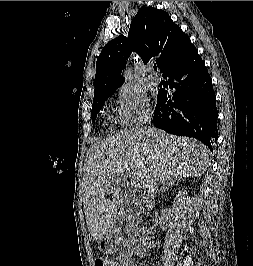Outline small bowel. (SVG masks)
<instances>
[{
  "instance_id": "small-bowel-1",
  "label": "small bowel",
  "mask_w": 253,
  "mask_h": 266,
  "mask_svg": "<svg viewBox=\"0 0 253 266\" xmlns=\"http://www.w3.org/2000/svg\"><path fill=\"white\" fill-rule=\"evenodd\" d=\"M123 258H124V257H120V258H119L118 263H119L120 266H123V264H122V259H123ZM118 263L113 261V266H117ZM130 266H137V265H136L134 262H131V263H130Z\"/></svg>"
}]
</instances>
